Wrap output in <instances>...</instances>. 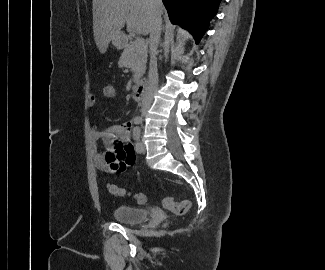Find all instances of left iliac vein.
<instances>
[{
  "label": "left iliac vein",
  "instance_id": "left-iliac-vein-1",
  "mask_svg": "<svg viewBox=\"0 0 325 270\" xmlns=\"http://www.w3.org/2000/svg\"><path fill=\"white\" fill-rule=\"evenodd\" d=\"M146 152V146L143 143V141H140V149L138 150V153H145Z\"/></svg>",
  "mask_w": 325,
  "mask_h": 270
}]
</instances>
